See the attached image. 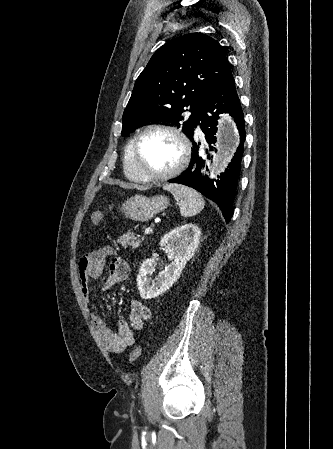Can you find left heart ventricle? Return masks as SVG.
<instances>
[{"label":"left heart ventricle","mask_w":333,"mask_h":449,"mask_svg":"<svg viewBox=\"0 0 333 449\" xmlns=\"http://www.w3.org/2000/svg\"><path fill=\"white\" fill-rule=\"evenodd\" d=\"M181 156L177 140L162 131L148 133L140 146V165L148 174H161L171 170Z\"/></svg>","instance_id":"1"}]
</instances>
